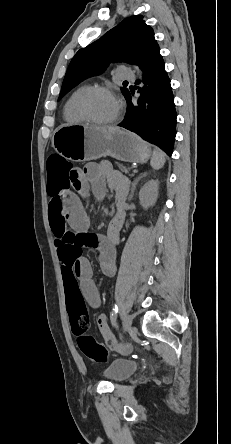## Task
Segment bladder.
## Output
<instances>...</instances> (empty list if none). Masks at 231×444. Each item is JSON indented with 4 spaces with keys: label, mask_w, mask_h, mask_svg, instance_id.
<instances>
[{
    "label": "bladder",
    "mask_w": 231,
    "mask_h": 444,
    "mask_svg": "<svg viewBox=\"0 0 231 444\" xmlns=\"http://www.w3.org/2000/svg\"><path fill=\"white\" fill-rule=\"evenodd\" d=\"M138 369L134 361L116 359L105 369L104 376L111 382L117 383L131 376Z\"/></svg>",
    "instance_id": "31cf9c89"
}]
</instances>
